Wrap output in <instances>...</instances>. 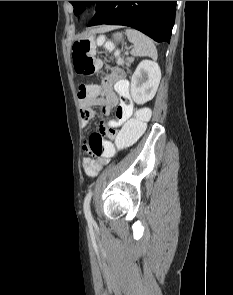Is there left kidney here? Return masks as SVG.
I'll list each match as a JSON object with an SVG mask.
<instances>
[{
    "label": "left kidney",
    "instance_id": "left-kidney-1",
    "mask_svg": "<svg viewBox=\"0 0 233 295\" xmlns=\"http://www.w3.org/2000/svg\"><path fill=\"white\" fill-rule=\"evenodd\" d=\"M160 79L161 70L157 62L141 61L131 78L130 91L133 101L137 104H144L152 100L158 89Z\"/></svg>",
    "mask_w": 233,
    "mask_h": 295
}]
</instances>
